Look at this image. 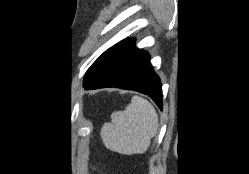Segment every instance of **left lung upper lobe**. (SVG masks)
Listing matches in <instances>:
<instances>
[{
	"mask_svg": "<svg viewBox=\"0 0 249 174\" xmlns=\"http://www.w3.org/2000/svg\"><path fill=\"white\" fill-rule=\"evenodd\" d=\"M127 40H123L120 43L116 44L112 48L105 51L89 68L86 73L85 79L92 77L98 71H100L113 57L116 51L126 42Z\"/></svg>",
	"mask_w": 249,
	"mask_h": 174,
	"instance_id": "left-lung-upper-lobe-1",
	"label": "left lung upper lobe"
}]
</instances>
